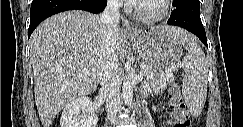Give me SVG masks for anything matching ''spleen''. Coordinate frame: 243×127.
<instances>
[{
  "label": "spleen",
  "instance_id": "obj_1",
  "mask_svg": "<svg viewBox=\"0 0 243 127\" xmlns=\"http://www.w3.org/2000/svg\"><path fill=\"white\" fill-rule=\"evenodd\" d=\"M173 35L188 51L182 62L177 64V67H182L185 72L182 93L190 111L199 114L207 97V60L193 36L188 33H173Z\"/></svg>",
  "mask_w": 243,
  "mask_h": 127
}]
</instances>
